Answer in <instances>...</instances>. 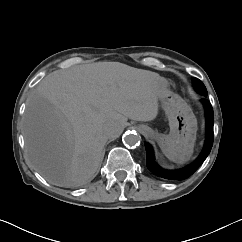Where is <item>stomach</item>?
<instances>
[{
	"instance_id": "0dacf381",
	"label": "stomach",
	"mask_w": 242,
	"mask_h": 242,
	"mask_svg": "<svg viewBox=\"0 0 242 242\" xmlns=\"http://www.w3.org/2000/svg\"><path fill=\"white\" fill-rule=\"evenodd\" d=\"M159 101L168 118L170 133L168 135L155 133L143 124L139 129L144 134L154 137L161 149L171 150L187 159L193 151L196 139V118L187 103L171 91L162 95Z\"/></svg>"
}]
</instances>
